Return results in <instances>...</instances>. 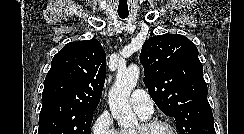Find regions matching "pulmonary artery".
Returning a JSON list of instances; mask_svg holds the SVG:
<instances>
[{
	"label": "pulmonary artery",
	"instance_id": "obj_1",
	"mask_svg": "<svg viewBox=\"0 0 244 134\" xmlns=\"http://www.w3.org/2000/svg\"><path fill=\"white\" fill-rule=\"evenodd\" d=\"M130 104L136 113L143 116L150 117L154 111L153 101L143 89H136L132 92Z\"/></svg>",
	"mask_w": 244,
	"mask_h": 134
}]
</instances>
